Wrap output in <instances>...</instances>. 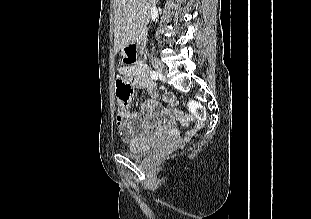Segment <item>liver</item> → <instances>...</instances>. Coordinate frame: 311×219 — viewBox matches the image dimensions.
Instances as JSON below:
<instances>
[{
  "mask_svg": "<svg viewBox=\"0 0 311 219\" xmlns=\"http://www.w3.org/2000/svg\"><path fill=\"white\" fill-rule=\"evenodd\" d=\"M158 0H114V51L133 43L150 20L151 6Z\"/></svg>",
  "mask_w": 311,
  "mask_h": 219,
  "instance_id": "6515ba94",
  "label": "liver"
}]
</instances>
